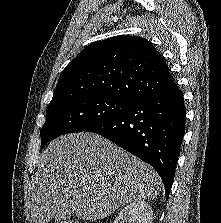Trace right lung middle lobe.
<instances>
[{
	"label": "right lung middle lobe",
	"mask_w": 221,
	"mask_h": 223,
	"mask_svg": "<svg viewBox=\"0 0 221 223\" xmlns=\"http://www.w3.org/2000/svg\"><path fill=\"white\" fill-rule=\"evenodd\" d=\"M133 102L109 96L85 95L50 103L40 137L41 147L56 137L86 131L125 111Z\"/></svg>",
	"instance_id": "dd1d6c3e"
}]
</instances>
